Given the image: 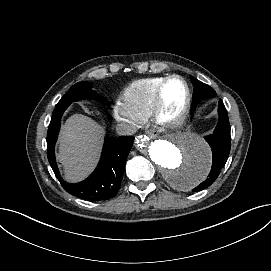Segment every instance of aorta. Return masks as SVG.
<instances>
[{
	"mask_svg": "<svg viewBox=\"0 0 271 271\" xmlns=\"http://www.w3.org/2000/svg\"><path fill=\"white\" fill-rule=\"evenodd\" d=\"M136 145L151 158L167 183L177 190L190 191L206 178L210 170V147L195 133L174 132L162 139L140 135L136 138Z\"/></svg>",
	"mask_w": 271,
	"mask_h": 271,
	"instance_id": "762f6f07",
	"label": "aorta"
}]
</instances>
